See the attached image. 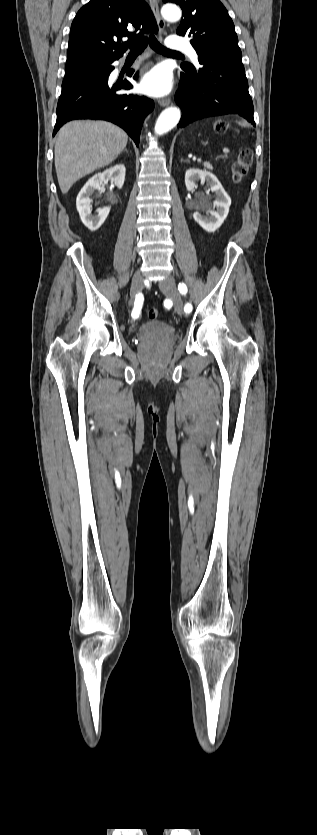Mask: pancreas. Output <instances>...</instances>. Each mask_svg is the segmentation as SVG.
<instances>
[{"mask_svg":"<svg viewBox=\"0 0 317 835\" xmlns=\"http://www.w3.org/2000/svg\"><path fill=\"white\" fill-rule=\"evenodd\" d=\"M204 167H205V168H207V169H210V170H212V169H213V166H212L210 163H208V162H205V163H204Z\"/></svg>","mask_w":317,"mask_h":835,"instance_id":"obj_1","label":"pancreas"}]
</instances>
